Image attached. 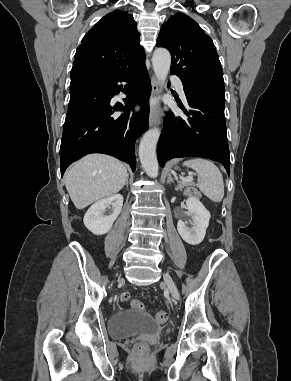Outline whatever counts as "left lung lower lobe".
Masks as SVG:
<instances>
[{"instance_id": "0a47b994", "label": "left lung lower lobe", "mask_w": 291, "mask_h": 381, "mask_svg": "<svg viewBox=\"0 0 291 381\" xmlns=\"http://www.w3.org/2000/svg\"><path fill=\"white\" fill-rule=\"evenodd\" d=\"M189 109L187 117L170 112L157 146L161 167L175 157L198 156L222 163L229 175L230 152L225 124V95L206 94L184 88Z\"/></svg>"}]
</instances>
